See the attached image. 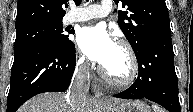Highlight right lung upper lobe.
I'll use <instances>...</instances> for the list:
<instances>
[{"label": "right lung upper lobe", "instance_id": "right-lung-upper-lobe-1", "mask_svg": "<svg viewBox=\"0 0 193 112\" xmlns=\"http://www.w3.org/2000/svg\"><path fill=\"white\" fill-rule=\"evenodd\" d=\"M68 0H18L16 30L41 24L62 23Z\"/></svg>", "mask_w": 193, "mask_h": 112}]
</instances>
